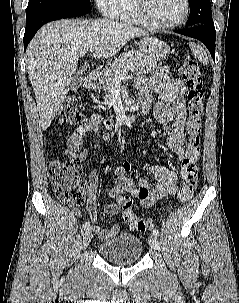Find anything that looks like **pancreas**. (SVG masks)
Returning <instances> with one entry per match:
<instances>
[{
    "mask_svg": "<svg viewBox=\"0 0 239 303\" xmlns=\"http://www.w3.org/2000/svg\"><path fill=\"white\" fill-rule=\"evenodd\" d=\"M130 63L133 64L131 68L132 72L151 73L161 68L155 61L143 58L142 54L136 50L121 53V55L102 72L99 79L98 86L102 87L105 92L104 101L100 102V105H106L108 108L112 106L111 93L116 81L115 73L122 71V69Z\"/></svg>",
    "mask_w": 239,
    "mask_h": 303,
    "instance_id": "cf45deb5",
    "label": "pancreas"
}]
</instances>
